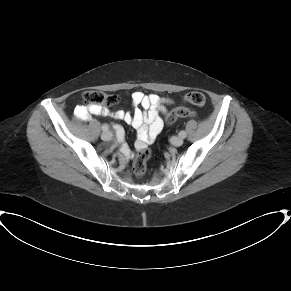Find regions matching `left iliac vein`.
Here are the masks:
<instances>
[{"mask_svg":"<svg viewBox=\"0 0 291 291\" xmlns=\"http://www.w3.org/2000/svg\"><path fill=\"white\" fill-rule=\"evenodd\" d=\"M170 142L174 145V146H180L183 143V138L178 137V136H174L170 139Z\"/></svg>","mask_w":291,"mask_h":291,"instance_id":"4c4485c4","label":"left iliac vein"}]
</instances>
